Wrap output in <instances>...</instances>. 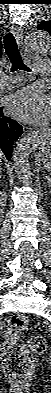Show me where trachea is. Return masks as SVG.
<instances>
[{
  "label": "trachea",
  "mask_w": 51,
  "mask_h": 393,
  "mask_svg": "<svg viewBox=\"0 0 51 393\" xmlns=\"http://www.w3.org/2000/svg\"><path fill=\"white\" fill-rule=\"evenodd\" d=\"M4 48L12 64L11 72H15L17 70L31 72V69L24 65L16 44V39L11 32H8L5 36Z\"/></svg>",
  "instance_id": "trachea-1"
}]
</instances>
